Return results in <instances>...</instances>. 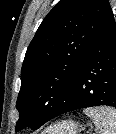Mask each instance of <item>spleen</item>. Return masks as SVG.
<instances>
[{
  "instance_id": "1",
  "label": "spleen",
  "mask_w": 116,
  "mask_h": 134,
  "mask_svg": "<svg viewBox=\"0 0 116 134\" xmlns=\"http://www.w3.org/2000/svg\"><path fill=\"white\" fill-rule=\"evenodd\" d=\"M84 113L92 118L97 134H116V109L109 107L87 108Z\"/></svg>"
}]
</instances>
